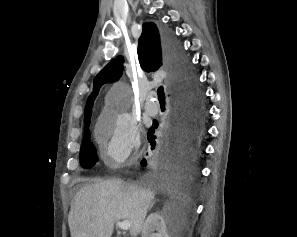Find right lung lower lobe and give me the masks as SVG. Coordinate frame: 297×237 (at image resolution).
<instances>
[{
    "mask_svg": "<svg viewBox=\"0 0 297 237\" xmlns=\"http://www.w3.org/2000/svg\"><path fill=\"white\" fill-rule=\"evenodd\" d=\"M162 37L167 65L174 83L171 114L173 126L159 152L148 161L143 159L141 162L151 169L148 178H165L200 171L197 159L201 151L198 136L202 131L204 113L202 97L190 77L178 41L167 29L162 30ZM157 127L158 123H153L147 135L152 150L156 145L154 131Z\"/></svg>",
    "mask_w": 297,
    "mask_h": 237,
    "instance_id": "obj_1",
    "label": "right lung lower lobe"
}]
</instances>
